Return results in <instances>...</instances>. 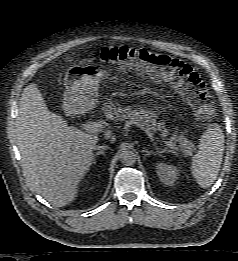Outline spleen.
<instances>
[{"instance_id":"obj_1","label":"spleen","mask_w":238,"mask_h":261,"mask_svg":"<svg viewBox=\"0 0 238 261\" xmlns=\"http://www.w3.org/2000/svg\"><path fill=\"white\" fill-rule=\"evenodd\" d=\"M223 151V131L218 124H211L201 136L199 151L194 155L191 164L192 175L201 188H209L216 180Z\"/></svg>"}]
</instances>
